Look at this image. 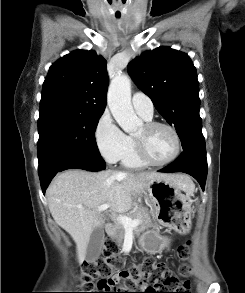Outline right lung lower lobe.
<instances>
[{"label": "right lung lower lobe", "instance_id": "obj_1", "mask_svg": "<svg viewBox=\"0 0 245 293\" xmlns=\"http://www.w3.org/2000/svg\"><path fill=\"white\" fill-rule=\"evenodd\" d=\"M106 164L102 157L85 154H68L56 158L42 171L39 172L43 193L51 182L52 178L66 169H84L88 171H100L105 169Z\"/></svg>", "mask_w": 245, "mask_h": 293}]
</instances>
